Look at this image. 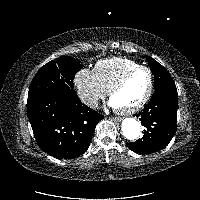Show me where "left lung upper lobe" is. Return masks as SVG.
<instances>
[{
  "label": "left lung upper lobe",
  "instance_id": "5c2ea615",
  "mask_svg": "<svg viewBox=\"0 0 200 200\" xmlns=\"http://www.w3.org/2000/svg\"><path fill=\"white\" fill-rule=\"evenodd\" d=\"M148 64L154 75L155 80V91L161 88H176L175 83L170 76L169 72L153 58L147 56Z\"/></svg>",
  "mask_w": 200,
  "mask_h": 200
}]
</instances>
